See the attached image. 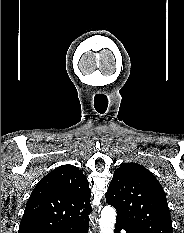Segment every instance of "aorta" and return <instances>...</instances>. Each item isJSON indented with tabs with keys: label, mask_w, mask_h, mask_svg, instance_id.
Returning <instances> with one entry per match:
<instances>
[{
	"label": "aorta",
	"mask_w": 184,
	"mask_h": 233,
	"mask_svg": "<svg viewBox=\"0 0 184 233\" xmlns=\"http://www.w3.org/2000/svg\"><path fill=\"white\" fill-rule=\"evenodd\" d=\"M115 220V209L110 205L105 206L101 212V217L99 220L100 233H113Z\"/></svg>",
	"instance_id": "1"
}]
</instances>
